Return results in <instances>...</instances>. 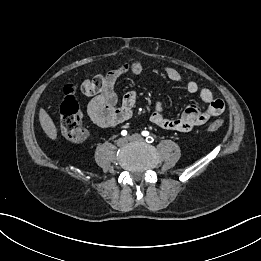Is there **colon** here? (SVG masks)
I'll use <instances>...</instances> for the list:
<instances>
[{
  "mask_svg": "<svg viewBox=\"0 0 261 261\" xmlns=\"http://www.w3.org/2000/svg\"><path fill=\"white\" fill-rule=\"evenodd\" d=\"M104 85V76L96 75L84 81L80 88L88 93L99 92ZM78 86L68 84L63 89V100L60 106V126L62 134L69 140L81 141L86 138L87 131L82 125V114L76 98ZM224 124V119H217L208 126V131L215 132Z\"/></svg>",
  "mask_w": 261,
  "mask_h": 261,
  "instance_id": "5ec220e1",
  "label": "colon"
}]
</instances>
